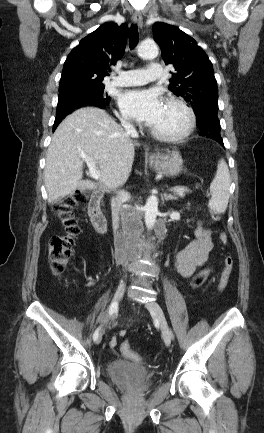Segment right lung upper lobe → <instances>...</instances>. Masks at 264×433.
I'll return each instance as SVG.
<instances>
[{"instance_id": "1", "label": "right lung upper lobe", "mask_w": 264, "mask_h": 433, "mask_svg": "<svg viewBox=\"0 0 264 433\" xmlns=\"http://www.w3.org/2000/svg\"><path fill=\"white\" fill-rule=\"evenodd\" d=\"M127 28L125 23L118 26L108 22L82 39L64 63L59 94L70 88L102 84L110 65L124 54Z\"/></svg>"}]
</instances>
